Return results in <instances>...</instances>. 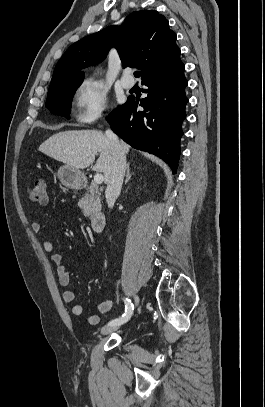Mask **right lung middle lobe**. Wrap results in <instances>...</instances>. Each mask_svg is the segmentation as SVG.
Instances as JSON below:
<instances>
[{
  "mask_svg": "<svg viewBox=\"0 0 265 407\" xmlns=\"http://www.w3.org/2000/svg\"><path fill=\"white\" fill-rule=\"evenodd\" d=\"M82 82H59L49 87L46 107L56 115L68 117L73 95Z\"/></svg>",
  "mask_w": 265,
  "mask_h": 407,
  "instance_id": "1",
  "label": "right lung middle lobe"
}]
</instances>
